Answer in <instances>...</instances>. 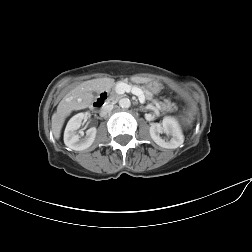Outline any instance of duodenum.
<instances>
[{
    "instance_id": "1",
    "label": "duodenum",
    "mask_w": 252,
    "mask_h": 252,
    "mask_svg": "<svg viewBox=\"0 0 252 252\" xmlns=\"http://www.w3.org/2000/svg\"><path fill=\"white\" fill-rule=\"evenodd\" d=\"M108 98H109V93L108 92L101 93L99 95V97L92 104L93 110L101 109L106 104V102L108 101Z\"/></svg>"
}]
</instances>
